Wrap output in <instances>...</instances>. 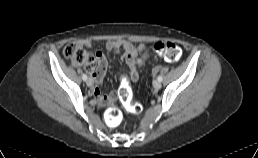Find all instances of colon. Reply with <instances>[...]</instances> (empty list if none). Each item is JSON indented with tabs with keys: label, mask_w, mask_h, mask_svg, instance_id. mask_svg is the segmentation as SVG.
Here are the masks:
<instances>
[{
	"label": "colon",
	"mask_w": 258,
	"mask_h": 158,
	"mask_svg": "<svg viewBox=\"0 0 258 158\" xmlns=\"http://www.w3.org/2000/svg\"><path fill=\"white\" fill-rule=\"evenodd\" d=\"M155 53L169 62L178 61L181 57L180 47L172 41L156 42L153 45ZM64 56L71 60L76 65L91 64L95 61V56L86 51L82 46L76 43H69L63 49ZM119 97L131 113H141L142 105L132 102V92L130 85L127 81H124L119 89ZM107 121L110 125L114 126L120 123L121 114L115 107H111L107 112Z\"/></svg>",
	"instance_id": "colon-1"
}]
</instances>
